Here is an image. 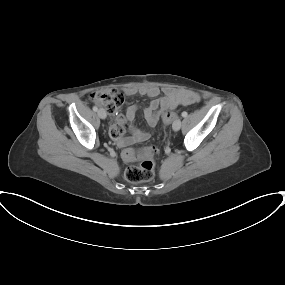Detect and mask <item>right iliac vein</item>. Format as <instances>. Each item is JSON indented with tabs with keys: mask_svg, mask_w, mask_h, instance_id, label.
Instances as JSON below:
<instances>
[{
	"mask_svg": "<svg viewBox=\"0 0 285 285\" xmlns=\"http://www.w3.org/2000/svg\"><path fill=\"white\" fill-rule=\"evenodd\" d=\"M97 114L101 119H105L107 116L106 111L104 109H99Z\"/></svg>",
	"mask_w": 285,
	"mask_h": 285,
	"instance_id": "63e3f726",
	"label": "right iliac vein"
}]
</instances>
